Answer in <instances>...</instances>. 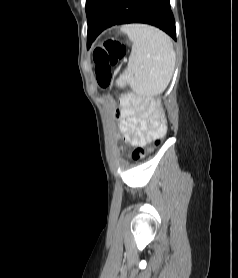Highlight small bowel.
I'll return each mask as SVG.
<instances>
[{
	"label": "small bowel",
	"mask_w": 238,
	"mask_h": 278,
	"mask_svg": "<svg viewBox=\"0 0 238 278\" xmlns=\"http://www.w3.org/2000/svg\"><path fill=\"white\" fill-rule=\"evenodd\" d=\"M120 115L124 138L134 146H143L162 132L152 99L142 90H135L122 98Z\"/></svg>",
	"instance_id": "1"
}]
</instances>
